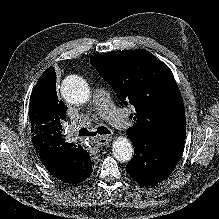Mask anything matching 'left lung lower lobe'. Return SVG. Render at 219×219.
<instances>
[{
    "label": "left lung lower lobe",
    "mask_w": 219,
    "mask_h": 219,
    "mask_svg": "<svg viewBox=\"0 0 219 219\" xmlns=\"http://www.w3.org/2000/svg\"><path fill=\"white\" fill-rule=\"evenodd\" d=\"M134 156L126 165L127 173L143 186H154L165 180L180 160L183 148H168L147 139L129 137Z\"/></svg>",
    "instance_id": "1"
}]
</instances>
